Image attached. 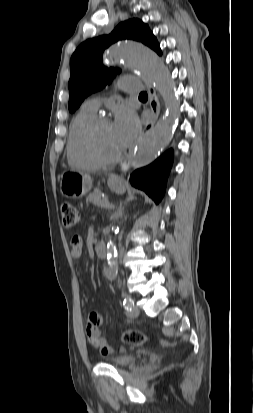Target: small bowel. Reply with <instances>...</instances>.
<instances>
[{
  "label": "small bowel",
  "instance_id": "small-bowel-1",
  "mask_svg": "<svg viewBox=\"0 0 253 413\" xmlns=\"http://www.w3.org/2000/svg\"><path fill=\"white\" fill-rule=\"evenodd\" d=\"M82 252L81 239L78 236L72 239V251L73 257H79ZM101 318L97 313H91L87 318L86 324V337L88 343L96 349H99L103 355H107L112 351V348L108 346L106 340L100 336L99 325Z\"/></svg>",
  "mask_w": 253,
  "mask_h": 413
}]
</instances>
